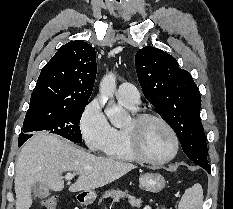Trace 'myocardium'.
Segmentation results:
<instances>
[{"label":"myocardium","mask_w":233,"mask_h":209,"mask_svg":"<svg viewBox=\"0 0 233 209\" xmlns=\"http://www.w3.org/2000/svg\"><path fill=\"white\" fill-rule=\"evenodd\" d=\"M149 120H154L161 123L169 132L173 141V150L170 155L163 159H152L144 154L140 146V132L142 126ZM127 145L132 155L139 161L152 164V165H165L171 162L179 151V139L172 127V125L160 115L149 112H142L136 114L132 121L131 126L125 129Z\"/></svg>","instance_id":"obj_1"}]
</instances>
